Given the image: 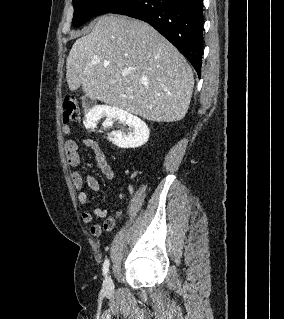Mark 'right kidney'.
I'll use <instances>...</instances> for the list:
<instances>
[{
  "label": "right kidney",
  "mask_w": 284,
  "mask_h": 319,
  "mask_svg": "<svg viewBox=\"0 0 284 319\" xmlns=\"http://www.w3.org/2000/svg\"><path fill=\"white\" fill-rule=\"evenodd\" d=\"M106 117L104 126H110L112 120H119L121 123L129 126L126 133L121 131H112L109 134V140L120 148H137L144 145L149 138V128L144 121L137 116L128 113L119 108L106 105L95 106L89 110L83 121L86 129L94 130L97 122Z\"/></svg>",
  "instance_id": "ca27d5eb"
}]
</instances>
